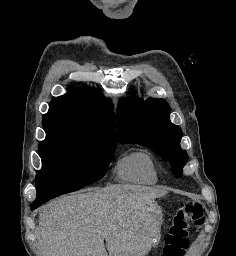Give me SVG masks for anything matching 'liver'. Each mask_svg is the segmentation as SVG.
I'll return each instance as SVG.
<instances>
[{
    "label": "liver",
    "instance_id": "obj_1",
    "mask_svg": "<svg viewBox=\"0 0 236 256\" xmlns=\"http://www.w3.org/2000/svg\"><path fill=\"white\" fill-rule=\"evenodd\" d=\"M42 208L37 228L41 256H145L143 228L154 188L117 184L87 188ZM106 242V250L104 246Z\"/></svg>",
    "mask_w": 236,
    "mask_h": 256
}]
</instances>
